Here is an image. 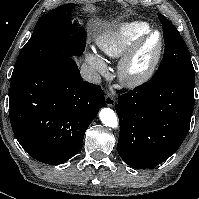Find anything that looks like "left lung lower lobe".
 Segmentation results:
<instances>
[{
	"label": "left lung lower lobe",
	"mask_w": 199,
	"mask_h": 199,
	"mask_svg": "<svg viewBox=\"0 0 199 199\" xmlns=\"http://www.w3.org/2000/svg\"><path fill=\"white\" fill-rule=\"evenodd\" d=\"M194 83L195 76L168 75L119 97L117 149L126 164L151 168L178 150L190 127Z\"/></svg>",
	"instance_id": "left-lung-lower-lobe-1"
}]
</instances>
